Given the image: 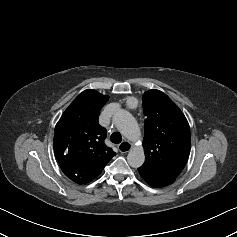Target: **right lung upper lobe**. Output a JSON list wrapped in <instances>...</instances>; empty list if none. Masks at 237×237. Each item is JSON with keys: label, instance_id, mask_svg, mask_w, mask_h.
I'll return each mask as SVG.
<instances>
[{"label": "right lung upper lobe", "instance_id": "1", "mask_svg": "<svg viewBox=\"0 0 237 237\" xmlns=\"http://www.w3.org/2000/svg\"><path fill=\"white\" fill-rule=\"evenodd\" d=\"M108 99L92 89L83 91L55 126V155L73 181L94 179L116 154L104 144L106 130L98 124L99 111Z\"/></svg>", "mask_w": 237, "mask_h": 237}]
</instances>
